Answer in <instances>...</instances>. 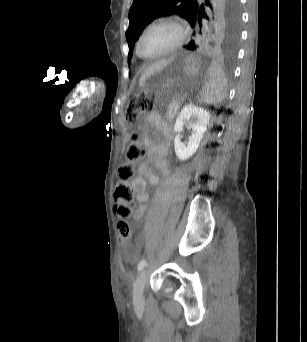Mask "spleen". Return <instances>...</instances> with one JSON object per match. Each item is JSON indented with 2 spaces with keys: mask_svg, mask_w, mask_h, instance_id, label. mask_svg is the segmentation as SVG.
Segmentation results:
<instances>
[{
  "mask_svg": "<svg viewBox=\"0 0 307 342\" xmlns=\"http://www.w3.org/2000/svg\"><path fill=\"white\" fill-rule=\"evenodd\" d=\"M211 61L208 67L210 83H203V93H201V100L206 104H216L225 98L226 78L223 76V70H220L214 58Z\"/></svg>",
  "mask_w": 307,
  "mask_h": 342,
  "instance_id": "spleen-1",
  "label": "spleen"
}]
</instances>
